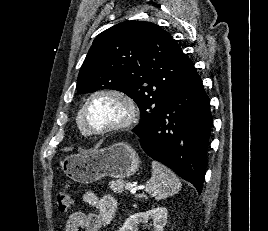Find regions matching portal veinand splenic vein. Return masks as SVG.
Here are the masks:
<instances>
[{
  "label": "portal vein and splenic vein",
  "mask_w": 268,
  "mask_h": 231,
  "mask_svg": "<svg viewBox=\"0 0 268 231\" xmlns=\"http://www.w3.org/2000/svg\"><path fill=\"white\" fill-rule=\"evenodd\" d=\"M126 189H127V190H132V189H133V185L130 184V183H127V184H126Z\"/></svg>",
  "instance_id": "1"
}]
</instances>
